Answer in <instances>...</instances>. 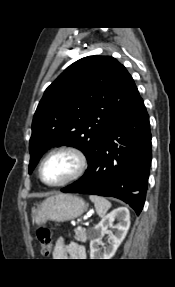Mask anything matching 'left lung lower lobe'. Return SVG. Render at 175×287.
Here are the masks:
<instances>
[{
    "label": "left lung lower lobe",
    "mask_w": 175,
    "mask_h": 287,
    "mask_svg": "<svg viewBox=\"0 0 175 287\" xmlns=\"http://www.w3.org/2000/svg\"><path fill=\"white\" fill-rule=\"evenodd\" d=\"M151 159L149 116L139 95L108 130L90 168L61 191L115 197L139 215L145 202Z\"/></svg>",
    "instance_id": "left-lung-lower-lobe-1"
}]
</instances>
